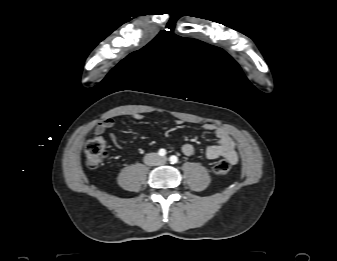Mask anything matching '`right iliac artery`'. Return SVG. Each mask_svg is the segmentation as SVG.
<instances>
[{
  "mask_svg": "<svg viewBox=\"0 0 337 261\" xmlns=\"http://www.w3.org/2000/svg\"><path fill=\"white\" fill-rule=\"evenodd\" d=\"M158 154L160 156H165L166 155V150L165 149H160L159 152H158Z\"/></svg>",
  "mask_w": 337,
  "mask_h": 261,
  "instance_id": "82829eb1",
  "label": "right iliac artery"
}]
</instances>
